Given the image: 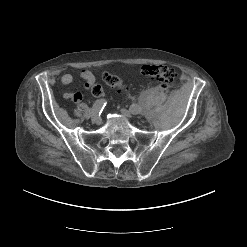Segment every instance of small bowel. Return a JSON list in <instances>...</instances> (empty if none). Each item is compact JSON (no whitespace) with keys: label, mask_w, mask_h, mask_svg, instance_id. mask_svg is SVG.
<instances>
[{"label":"small bowel","mask_w":247,"mask_h":247,"mask_svg":"<svg viewBox=\"0 0 247 247\" xmlns=\"http://www.w3.org/2000/svg\"><path fill=\"white\" fill-rule=\"evenodd\" d=\"M80 77L85 82V88L91 90L92 87L95 85V80H96L94 74L90 70L84 69L81 71ZM72 82H73V76L71 74H64L61 77V83L63 85L67 86L70 85ZM65 97L71 98L75 102H80L83 98L81 93H74V94L67 93L65 94Z\"/></svg>","instance_id":"obj_1"}]
</instances>
